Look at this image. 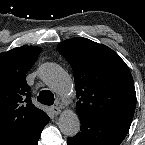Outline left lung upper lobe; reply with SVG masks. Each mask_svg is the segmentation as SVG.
Returning a JSON list of instances; mask_svg holds the SVG:
<instances>
[{"label": "left lung upper lobe", "mask_w": 145, "mask_h": 145, "mask_svg": "<svg viewBox=\"0 0 145 145\" xmlns=\"http://www.w3.org/2000/svg\"><path fill=\"white\" fill-rule=\"evenodd\" d=\"M57 49L74 73L79 116L133 119L134 82L128 66L118 54L105 45L81 37L63 41Z\"/></svg>", "instance_id": "left-lung-upper-lobe-1"}]
</instances>
